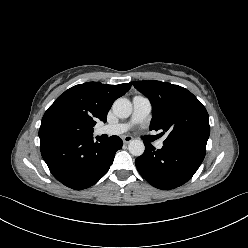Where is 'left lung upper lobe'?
I'll return each instance as SVG.
<instances>
[{"mask_svg":"<svg viewBox=\"0 0 248 248\" xmlns=\"http://www.w3.org/2000/svg\"><path fill=\"white\" fill-rule=\"evenodd\" d=\"M132 84L152 104L150 130L168 133L164 145L206 151L210 135L208 113L190 91L160 81H134Z\"/></svg>","mask_w":248,"mask_h":248,"instance_id":"obj_1","label":"left lung upper lobe"}]
</instances>
